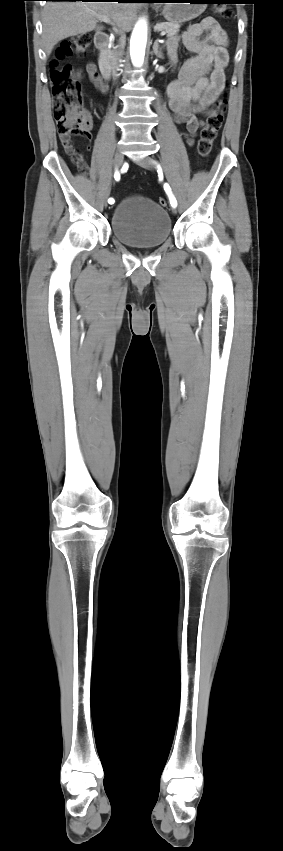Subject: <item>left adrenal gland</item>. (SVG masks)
I'll list each match as a JSON object with an SVG mask.
<instances>
[{
	"instance_id": "left-adrenal-gland-1",
	"label": "left adrenal gland",
	"mask_w": 283,
	"mask_h": 851,
	"mask_svg": "<svg viewBox=\"0 0 283 851\" xmlns=\"http://www.w3.org/2000/svg\"><path fill=\"white\" fill-rule=\"evenodd\" d=\"M161 50H162V49H161V48H159V43H158V41L156 40V41L154 42V45H153V52H154V54H155L158 58L163 59V55H162V51H161Z\"/></svg>"
}]
</instances>
